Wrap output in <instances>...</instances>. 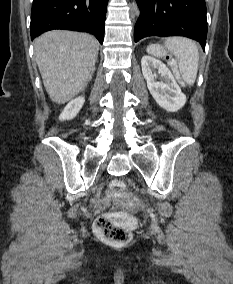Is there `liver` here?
Here are the masks:
<instances>
[{"instance_id": "6515ba94", "label": "liver", "mask_w": 233, "mask_h": 284, "mask_svg": "<svg viewBox=\"0 0 233 284\" xmlns=\"http://www.w3.org/2000/svg\"><path fill=\"white\" fill-rule=\"evenodd\" d=\"M34 51L50 99L64 104L91 80L99 42L86 33L53 30L35 39Z\"/></svg>"}]
</instances>
